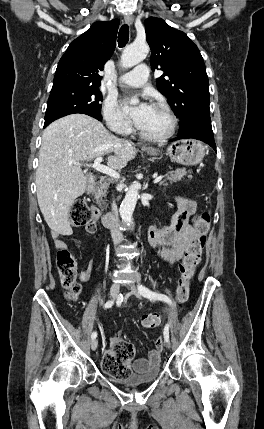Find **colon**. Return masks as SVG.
Returning <instances> with one entry per match:
<instances>
[{"instance_id": "obj_1", "label": "colon", "mask_w": 264, "mask_h": 429, "mask_svg": "<svg viewBox=\"0 0 264 429\" xmlns=\"http://www.w3.org/2000/svg\"><path fill=\"white\" fill-rule=\"evenodd\" d=\"M97 212L90 208L84 200H76L70 211V222L75 227L88 226L92 216ZM210 216L203 212L193 219V225L199 233L198 239L185 251L179 264V278L175 289V301L181 307L188 299L191 281L199 265L205 242V233L209 228ZM56 266L62 287L66 290V296L76 301L81 292V286L77 281V263L70 251L61 248L57 251ZM161 318L157 313H146L142 316L141 323L145 328H154L160 324ZM155 347L162 350L164 342L157 338ZM134 356V348L127 342H119L113 345L112 353L105 354L102 359V369L107 374L116 377H125L130 374L128 363Z\"/></svg>"}]
</instances>
